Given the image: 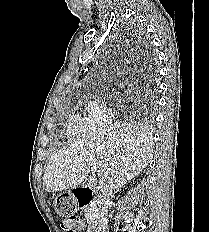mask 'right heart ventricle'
<instances>
[{
    "label": "right heart ventricle",
    "instance_id": "1",
    "mask_svg": "<svg viewBox=\"0 0 209 232\" xmlns=\"http://www.w3.org/2000/svg\"><path fill=\"white\" fill-rule=\"evenodd\" d=\"M89 132L87 119L79 113H73L67 123V133L71 137L84 136Z\"/></svg>",
    "mask_w": 209,
    "mask_h": 232
}]
</instances>
